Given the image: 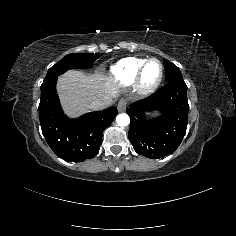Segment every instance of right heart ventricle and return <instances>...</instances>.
Returning <instances> with one entry per match:
<instances>
[{"label":"right heart ventricle","mask_w":236,"mask_h":236,"mask_svg":"<svg viewBox=\"0 0 236 236\" xmlns=\"http://www.w3.org/2000/svg\"><path fill=\"white\" fill-rule=\"evenodd\" d=\"M146 58L127 57L110 67L109 74L113 84L128 87L135 81L136 75Z\"/></svg>","instance_id":"1"}]
</instances>
